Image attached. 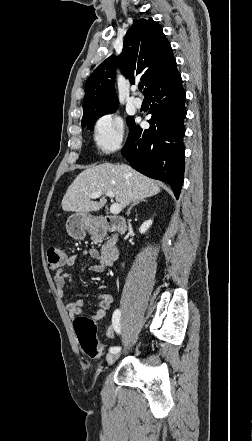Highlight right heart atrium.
I'll list each match as a JSON object with an SVG mask.
<instances>
[{
    "mask_svg": "<svg viewBox=\"0 0 252 441\" xmlns=\"http://www.w3.org/2000/svg\"><path fill=\"white\" fill-rule=\"evenodd\" d=\"M93 141L101 155L118 151L124 141V121L115 113L101 116L94 125Z\"/></svg>",
    "mask_w": 252,
    "mask_h": 441,
    "instance_id": "right-heart-atrium-1",
    "label": "right heart atrium"
}]
</instances>
